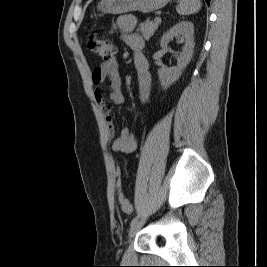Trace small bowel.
<instances>
[{"instance_id":"obj_1","label":"small bowel","mask_w":267,"mask_h":267,"mask_svg":"<svg viewBox=\"0 0 267 267\" xmlns=\"http://www.w3.org/2000/svg\"><path fill=\"white\" fill-rule=\"evenodd\" d=\"M135 25L136 19L131 15H121L115 21V27L124 34V41L134 53L133 61L137 70L140 100L142 103H145L150 94L152 78L148 69V60L142 52L144 40L139 34L133 32ZM92 79L97 86H102L106 82L108 83L109 99L112 103L119 105L124 102V97L121 92L119 65L116 60L104 62L94 68ZM94 97L96 103L104 113L109 134L112 136L115 130L111 107L107 102L106 96L99 89H96ZM136 146V139L128 127L121 130L119 136L113 139L111 145L114 152L121 153H131L136 149Z\"/></svg>"}]
</instances>
